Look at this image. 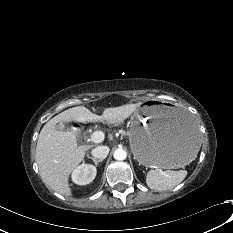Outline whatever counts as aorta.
<instances>
[{
    "instance_id": "obj_1",
    "label": "aorta",
    "mask_w": 233,
    "mask_h": 233,
    "mask_svg": "<svg viewBox=\"0 0 233 233\" xmlns=\"http://www.w3.org/2000/svg\"><path fill=\"white\" fill-rule=\"evenodd\" d=\"M113 156H114V158L116 160H125L126 157H127V153H126V151L124 149L118 148V149H116L114 151V155Z\"/></svg>"
}]
</instances>
